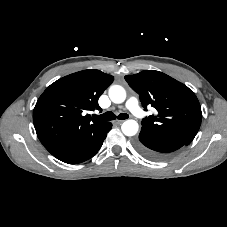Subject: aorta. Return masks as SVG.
Listing matches in <instances>:
<instances>
[{
    "mask_svg": "<svg viewBox=\"0 0 227 227\" xmlns=\"http://www.w3.org/2000/svg\"><path fill=\"white\" fill-rule=\"evenodd\" d=\"M109 97L113 103L120 104L126 99V91L120 85H113L109 88ZM139 129L137 121L129 119L123 122L121 130L126 136H134Z\"/></svg>",
    "mask_w": 227,
    "mask_h": 227,
    "instance_id": "obj_1",
    "label": "aorta"
}]
</instances>
